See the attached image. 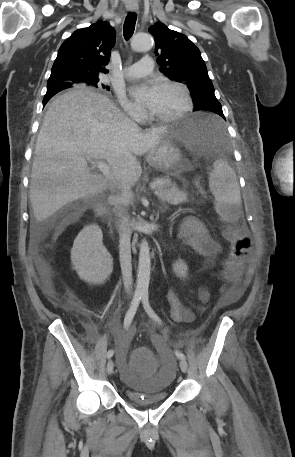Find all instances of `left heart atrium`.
<instances>
[{
    "instance_id": "1",
    "label": "left heart atrium",
    "mask_w": 295,
    "mask_h": 457,
    "mask_svg": "<svg viewBox=\"0 0 295 457\" xmlns=\"http://www.w3.org/2000/svg\"><path fill=\"white\" fill-rule=\"evenodd\" d=\"M158 94L159 86L154 83L137 86L132 90V95L148 108H151L155 104Z\"/></svg>"
}]
</instances>
